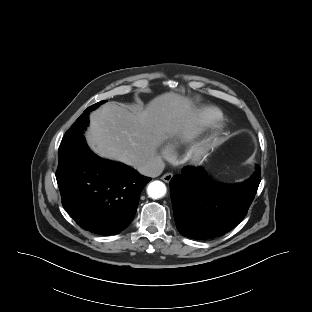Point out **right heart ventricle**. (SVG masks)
Segmentation results:
<instances>
[{
	"mask_svg": "<svg viewBox=\"0 0 312 312\" xmlns=\"http://www.w3.org/2000/svg\"><path fill=\"white\" fill-rule=\"evenodd\" d=\"M224 119L223 113L213 107L204 108L196 113V115L189 120L175 136L174 140L177 142H186L204 130L217 126Z\"/></svg>",
	"mask_w": 312,
	"mask_h": 312,
	"instance_id": "obj_1",
	"label": "right heart ventricle"
}]
</instances>
